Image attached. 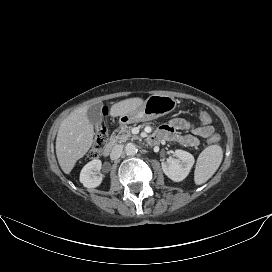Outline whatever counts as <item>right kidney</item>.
Masks as SVG:
<instances>
[{
  "label": "right kidney",
  "instance_id": "ca27d5eb",
  "mask_svg": "<svg viewBox=\"0 0 272 272\" xmlns=\"http://www.w3.org/2000/svg\"><path fill=\"white\" fill-rule=\"evenodd\" d=\"M101 167V160L94 159L82 168L79 180L84 187L95 188L101 184L103 179L102 175L100 174Z\"/></svg>",
  "mask_w": 272,
  "mask_h": 272
}]
</instances>
